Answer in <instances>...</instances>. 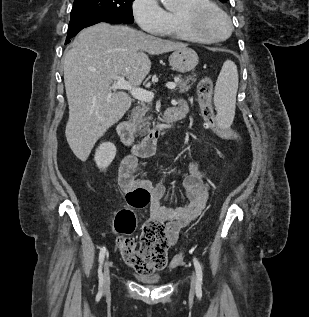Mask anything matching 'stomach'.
Returning <instances> with one entry per match:
<instances>
[{
  "label": "stomach",
  "mask_w": 309,
  "mask_h": 317,
  "mask_svg": "<svg viewBox=\"0 0 309 317\" xmlns=\"http://www.w3.org/2000/svg\"><path fill=\"white\" fill-rule=\"evenodd\" d=\"M199 62L197 53L188 47L175 50L169 57V63L173 70L186 73L192 71Z\"/></svg>",
  "instance_id": "1"
}]
</instances>
